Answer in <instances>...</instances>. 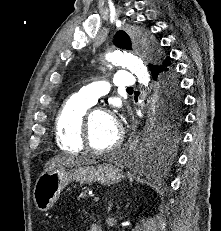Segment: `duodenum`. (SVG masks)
<instances>
[{
    "instance_id": "obj_1",
    "label": "duodenum",
    "mask_w": 221,
    "mask_h": 231,
    "mask_svg": "<svg viewBox=\"0 0 221 231\" xmlns=\"http://www.w3.org/2000/svg\"><path fill=\"white\" fill-rule=\"evenodd\" d=\"M90 231H103L101 226H99L98 224H93L90 228Z\"/></svg>"
}]
</instances>
